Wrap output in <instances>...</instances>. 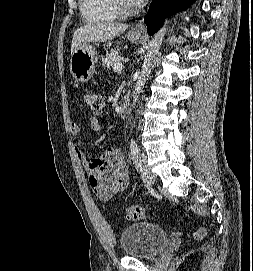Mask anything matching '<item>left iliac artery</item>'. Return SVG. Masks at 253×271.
<instances>
[{"mask_svg":"<svg viewBox=\"0 0 253 271\" xmlns=\"http://www.w3.org/2000/svg\"><path fill=\"white\" fill-rule=\"evenodd\" d=\"M130 153H131V158L133 160V163H134L137 171L141 172L142 165H141V160H140V150H139L138 145L135 141H131V143H130Z\"/></svg>","mask_w":253,"mask_h":271,"instance_id":"left-iliac-artery-1","label":"left iliac artery"}]
</instances>
